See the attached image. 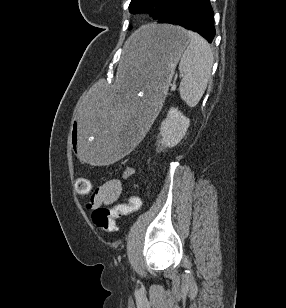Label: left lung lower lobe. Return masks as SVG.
<instances>
[{
    "mask_svg": "<svg viewBox=\"0 0 286 308\" xmlns=\"http://www.w3.org/2000/svg\"><path fill=\"white\" fill-rule=\"evenodd\" d=\"M158 23L176 24L193 30L212 42L215 36L214 14L209 0H172Z\"/></svg>",
    "mask_w": 286,
    "mask_h": 308,
    "instance_id": "1",
    "label": "left lung lower lobe"
}]
</instances>
